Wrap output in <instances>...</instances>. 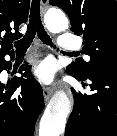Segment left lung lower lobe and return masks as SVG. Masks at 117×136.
I'll return each instance as SVG.
<instances>
[{
	"label": "left lung lower lobe",
	"instance_id": "0a47b994",
	"mask_svg": "<svg viewBox=\"0 0 117 136\" xmlns=\"http://www.w3.org/2000/svg\"><path fill=\"white\" fill-rule=\"evenodd\" d=\"M83 87L90 80L92 94L74 92V107L67 122L65 136H117V66L92 69L85 78L75 76Z\"/></svg>",
	"mask_w": 117,
	"mask_h": 136
}]
</instances>
